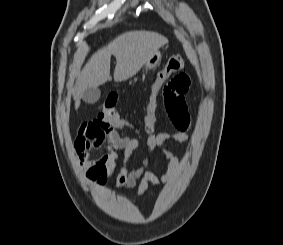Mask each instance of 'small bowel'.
<instances>
[{
  "label": "small bowel",
  "instance_id": "small-bowel-1",
  "mask_svg": "<svg viewBox=\"0 0 283 245\" xmlns=\"http://www.w3.org/2000/svg\"><path fill=\"white\" fill-rule=\"evenodd\" d=\"M190 84L189 75L181 72L167 80L160 91L167 115L177 131L149 136L147 149L150 153L158 152L169 161L165 173L156 174L147 171V160L141 166L130 169L129 164L139 146V140L131 136H121L118 128L97 118L83 123L74 141L75 153L85 170L86 177L97 185L106 184L115 170L119 152L123 151V166L115 179V187L134 188L137 186L138 194L142 195L150 184L161 185L177 178L180 173V159L163 145L167 142H189L188 130L191 119L184 96ZM104 144L107 146L102 152L92 153L93 150L100 149Z\"/></svg>",
  "mask_w": 283,
  "mask_h": 245
}]
</instances>
